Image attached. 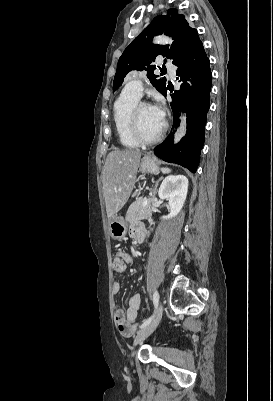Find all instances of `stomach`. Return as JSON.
I'll return each instance as SVG.
<instances>
[{
  "mask_svg": "<svg viewBox=\"0 0 273 401\" xmlns=\"http://www.w3.org/2000/svg\"><path fill=\"white\" fill-rule=\"evenodd\" d=\"M159 160H155L154 156L147 152L143 158H141L140 168L141 172H158L159 170ZM109 231L110 237L115 239V241H120V239H124L127 233V223L124 221L123 217H118V215H114V217H109Z\"/></svg>",
  "mask_w": 273,
  "mask_h": 401,
  "instance_id": "0dacf381",
  "label": "stomach"
}]
</instances>
